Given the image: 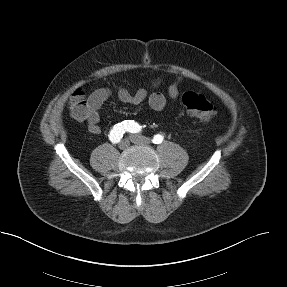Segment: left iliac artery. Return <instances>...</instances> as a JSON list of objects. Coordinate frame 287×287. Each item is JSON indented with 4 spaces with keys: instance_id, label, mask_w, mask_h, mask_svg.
<instances>
[{
    "instance_id": "left-iliac-artery-1",
    "label": "left iliac artery",
    "mask_w": 287,
    "mask_h": 287,
    "mask_svg": "<svg viewBox=\"0 0 287 287\" xmlns=\"http://www.w3.org/2000/svg\"><path fill=\"white\" fill-rule=\"evenodd\" d=\"M138 127H139V125L137 123H135L134 121H129L127 129L131 133H136ZM163 139H164V137L162 135L157 134L153 137L152 141L155 144H160L163 142Z\"/></svg>"
}]
</instances>
